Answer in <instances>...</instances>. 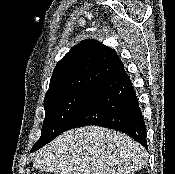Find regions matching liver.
<instances>
[{
	"label": "liver",
	"mask_w": 175,
	"mask_h": 174,
	"mask_svg": "<svg viewBox=\"0 0 175 174\" xmlns=\"http://www.w3.org/2000/svg\"><path fill=\"white\" fill-rule=\"evenodd\" d=\"M147 164V152L128 135L98 126L62 133L39 150L33 167L54 174H130Z\"/></svg>",
	"instance_id": "1"
}]
</instances>
